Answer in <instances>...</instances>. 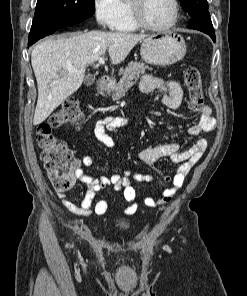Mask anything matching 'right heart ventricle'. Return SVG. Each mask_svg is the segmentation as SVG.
<instances>
[{"mask_svg":"<svg viewBox=\"0 0 247 296\" xmlns=\"http://www.w3.org/2000/svg\"><path fill=\"white\" fill-rule=\"evenodd\" d=\"M120 6L122 11L121 18L114 29L120 32L135 31L137 26L133 22L128 0H120Z\"/></svg>","mask_w":247,"mask_h":296,"instance_id":"right-heart-ventricle-1","label":"right heart ventricle"}]
</instances>
